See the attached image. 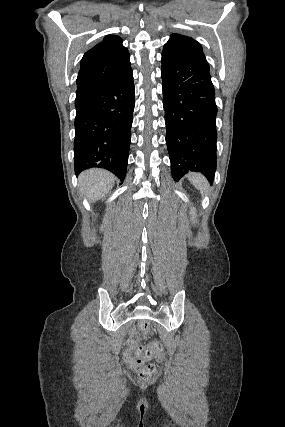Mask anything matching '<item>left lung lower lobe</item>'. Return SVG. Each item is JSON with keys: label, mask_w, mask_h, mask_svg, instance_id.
<instances>
[{"label": "left lung lower lobe", "mask_w": 285, "mask_h": 427, "mask_svg": "<svg viewBox=\"0 0 285 427\" xmlns=\"http://www.w3.org/2000/svg\"><path fill=\"white\" fill-rule=\"evenodd\" d=\"M166 143L171 173L179 180L189 171L212 183L216 170L217 106L209 65L162 55Z\"/></svg>", "instance_id": "obj_1"}]
</instances>
